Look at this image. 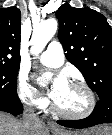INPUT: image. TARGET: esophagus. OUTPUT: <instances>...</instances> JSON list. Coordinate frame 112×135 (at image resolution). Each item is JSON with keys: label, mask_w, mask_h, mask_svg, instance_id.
I'll return each instance as SVG.
<instances>
[{"label": "esophagus", "mask_w": 112, "mask_h": 135, "mask_svg": "<svg viewBox=\"0 0 112 135\" xmlns=\"http://www.w3.org/2000/svg\"><path fill=\"white\" fill-rule=\"evenodd\" d=\"M48 126L50 128H52V129H55V130H58L59 129L58 126L56 124L52 123V122H48Z\"/></svg>", "instance_id": "34e87169"}]
</instances>
